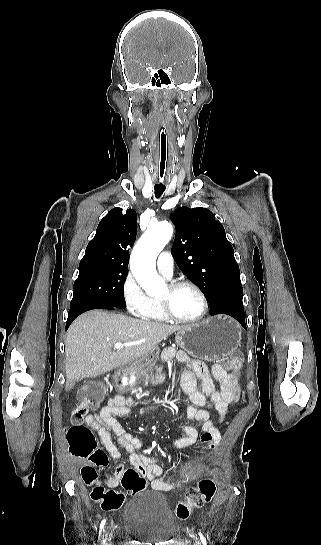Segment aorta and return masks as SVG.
Masks as SVG:
<instances>
[{
  "label": "aorta",
  "instance_id": "aorta-1",
  "mask_svg": "<svg viewBox=\"0 0 321 545\" xmlns=\"http://www.w3.org/2000/svg\"><path fill=\"white\" fill-rule=\"evenodd\" d=\"M172 234L173 227L168 222L151 224L132 251L130 269L148 294L160 293L164 288L165 283L156 271V259Z\"/></svg>",
  "mask_w": 321,
  "mask_h": 545
}]
</instances>
